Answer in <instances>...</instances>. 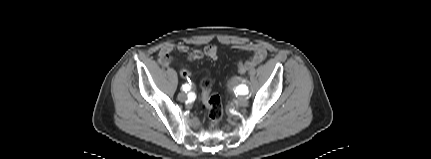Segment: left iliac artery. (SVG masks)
Listing matches in <instances>:
<instances>
[{"mask_svg":"<svg viewBox=\"0 0 431 159\" xmlns=\"http://www.w3.org/2000/svg\"><path fill=\"white\" fill-rule=\"evenodd\" d=\"M238 90L240 94H248V88L245 85L238 87Z\"/></svg>","mask_w":431,"mask_h":159,"instance_id":"1","label":"left iliac artery"}]
</instances>
